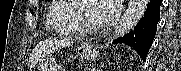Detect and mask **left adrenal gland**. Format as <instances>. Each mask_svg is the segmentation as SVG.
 Returning a JSON list of instances; mask_svg holds the SVG:
<instances>
[{"mask_svg": "<svg viewBox=\"0 0 181 71\" xmlns=\"http://www.w3.org/2000/svg\"><path fill=\"white\" fill-rule=\"evenodd\" d=\"M100 68H103V65H101ZM89 71H95V69L94 68L93 69H89ZM97 71H101V69L100 70L97 69Z\"/></svg>", "mask_w": 181, "mask_h": 71, "instance_id": "a2214340", "label": "left adrenal gland"}]
</instances>
